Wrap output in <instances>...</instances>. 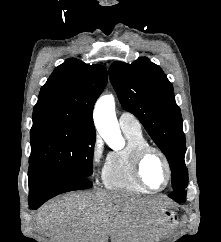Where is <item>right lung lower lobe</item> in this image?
<instances>
[{"instance_id": "98d812e1", "label": "right lung lower lobe", "mask_w": 221, "mask_h": 242, "mask_svg": "<svg viewBox=\"0 0 221 242\" xmlns=\"http://www.w3.org/2000/svg\"><path fill=\"white\" fill-rule=\"evenodd\" d=\"M29 207L36 210L50 198L73 190L91 188L88 177L57 171L29 172Z\"/></svg>"}]
</instances>
